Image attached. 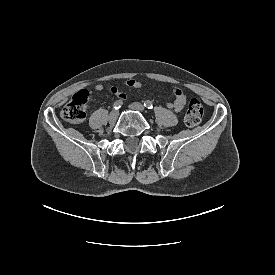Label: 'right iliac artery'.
<instances>
[{
	"label": "right iliac artery",
	"instance_id": "obj_1",
	"mask_svg": "<svg viewBox=\"0 0 275 275\" xmlns=\"http://www.w3.org/2000/svg\"><path fill=\"white\" fill-rule=\"evenodd\" d=\"M122 104H123V102L120 100L115 101L113 104V109H115V110L119 109L122 106Z\"/></svg>",
	"mask_w": 275,
	"mask_h": 275
}]
</instances>
